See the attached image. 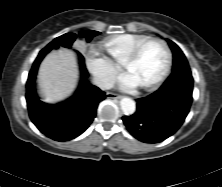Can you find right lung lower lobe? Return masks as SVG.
<instances>
[{
    "mask_svg": "<svg viewBox=\"0 0 222 187\" xmlns=\"http://www.w3.org/2000/svg\"><path fill=\"white\" fill-rule=\"evenodd\" d=\"M52 49L44 48L33 63L26 83V100L29 116L41 133L56 141H69L82 134L96 116L98 104L105 99V92L90 84L84 59L81 61L82 79L75 93L64 102L50 105L38 99L35 76L44 56Z\"/></svg>",
    "mask_w": 222,
    "mask_h": 187,
    "instance_id": "1",
    "label": "right lung lower lobe"
}]
</instances>
